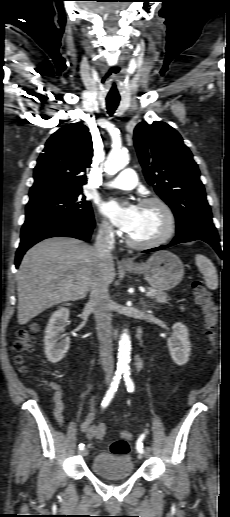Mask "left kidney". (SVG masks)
Masks as SVG:
<instances>
[{"mask_svg": "<svg viewBox=\"0 0 230 517\" xmlns=\"http://www.w3.org/2000/svg\"><path fill=\"white\" fill-rule=\"evenodd\" d=\"M173 334L167 340V346L173 361L179 365H185L190 356L191 344L187 327L177 322L172 326Z\"/></svg>", "mask_w": 230, "mask_h": 517, "instance_id": "left-kidney-1", "label": "left kidney"}]
</instances>
